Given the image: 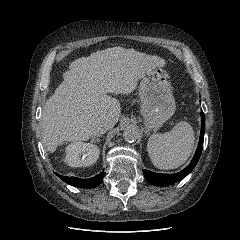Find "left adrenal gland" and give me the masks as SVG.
<instances>
[{
  "instance_id": "left-adrenal-gland-1",
  "label": "left adrenal gland",
  "mask_w": 240,
  "mask_h": 240,
  "mask_svg": "<svg viewBox=\"0 0 240 240\" xmlns=\"http://www.w3.org/2000/svg\"><path fill=\"white\" fill-rule=\"evenodd\" d=\"M149 132V130H146V133H148Z\"/></svg>"
}]
</instances>
